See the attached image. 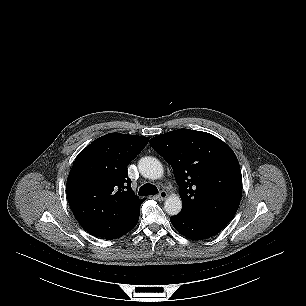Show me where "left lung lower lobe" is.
<instances>
[{
	"label": "left lung lower lobe",
	"instance_id": "left-lung-lower-lobe-1",
	"mask_svg": "<svg viewBox=\"0 0 306 306\" xmlns=\"http://www.w3.org/2000/svg\"><path fill=\"white\" fill-rule=\"evenodd\" d=\"M170 221L179 233L195 240L214 236L227 225V222L194 217L183 212L172 216Z\"/></svg>",
	"mask_w": 306,
	"mask_h": 306
}]
</instances>
